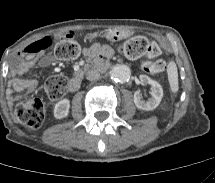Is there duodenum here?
<instances>
[{"label":"duodenum","mask_w":215,"mask_h":183,"mask_svg":"<svg viewBox=\"0 0 215 183\" xmlns=\"http://www.w3.org/2000/svg\"><path fill=\"white\" fill-rule=\"evenodd\" d=\"M95 65L98 68H107L109 62L107 59H99L95 61ZM84 74L82 72H78L73 78H71L68 82V90L74 92L78 90L81 86Z\"/></svg>","instance_id":"obj_1"}]
</instances>
